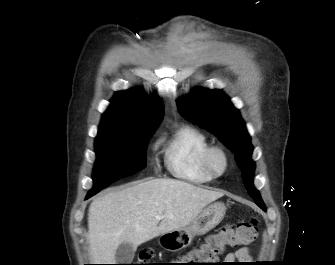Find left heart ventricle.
I'll return each mask as SVG.
<instances>
[{
    "label": "left heart ventricle",
    "instance_id": "obj_1",
    "mask_svg": "<svg viewBox=\"0 0 335 265\" xmlns=\"http://www.w3.org/2000/svg\"><path fill=\"white\" fill-rule=\"evenodd\" d=\"M214 165L217 169H221L223 167V160L220 156H216L214 158Z\"/></svg>",
    "mask_w": 335,
    "mask_h": 265
}]
</instances>
